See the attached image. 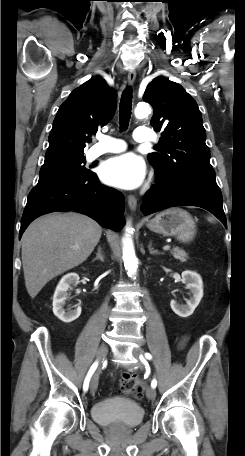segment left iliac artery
<instances>
[{
	"mask_svg": "<svg viewBox=\"0 0 245 456\" xmlns=\"http://www.w3.org/2000/svg\"><path fill=\"white\" fill-rule=\"evenodd\" d=\"M144 356H145V358H147L149 360L152 359V355L150 353H145ZM140 358H141V360H143V355H140ZM156 386H157V380L153 379L151 382V387L155 388Z\"/></svg>",
	"mask_w": 245,
	"mask_h": 456,
	"instance_id": "obj_1",
	"label": "left iliac artery"
}]
</instances>
